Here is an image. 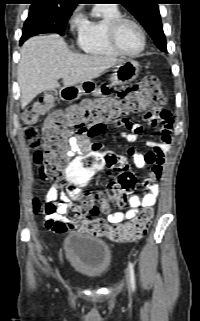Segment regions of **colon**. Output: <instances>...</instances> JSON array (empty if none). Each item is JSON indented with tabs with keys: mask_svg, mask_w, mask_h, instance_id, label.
<instances>
[{
	"mask_svg": "<svg viewBox=\"0 0 200 321\" xmlns=\"http://www.w3.org/2000/svg\"><path fill=\"white\" fill-rule=\"evenodd\" d=\"M141 89L123 98L102 97L88 100L80 105L49 114L43 130V150L40 149L38 130L33 126L40 116L54 107L56 96L46 93L40 100L27 109L22 120L25 125L24 137L33 150L34 161L42 178L67 183L66 198H77L80 204L73 205L68 212L78 230L97 236H105L113 242H133L147 232L153 211L145 209L132 221L111 226L99 218L98 202L103 209L110 205L123 207L126 197L136 187L137 177L131 170L128 160L112 153L95 151L69 161L68 138L73 134L97 136L108 124L119 123L130 113L144 110H161L166 103L161 80L155 76L145 77ZM111 169L116 177L110 181L104 192L92 193L83 187L101 169ZM34 209L45 214L54 211V206H42L34 200Z\"/></svg>",
	"mask_w": 200,
	"mask_h": 321,
	"instance_id": "obj_1",
	"label": "colon"
}]
</instances>
